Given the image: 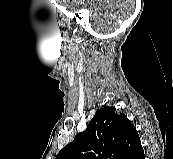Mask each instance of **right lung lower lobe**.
I'll list each match as a JSON object with an SVG mask.
<instances>
[{
	"mask_svg": "<svg viewBox=\"0 0 173 159\" xmlns=\"http://www.w3.org/2000/svg\"><path fill=\"white\" fill-rule=\"evenodd\" d=\"M130 159H144V152L143 149L140 150L137 154L132 156Z\"/></svg>",
	"mask_w": 173,
	"mask_h": 159,
	"instance_id": "obj_1",
	"label": "right lung lower lobe"
}]
</instances>
